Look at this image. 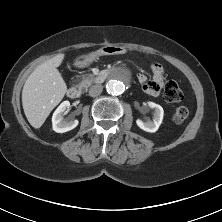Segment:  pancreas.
Wrapping results in <instances>:
<instances>
[{
	"instance_id": "obj_1",
	"label": "pancreas",
	"mask_w": 222,
	"mask_h": 222,
	"mask_svg": "<svg viewBox=\"0 0 222 222\" xmlns=\"http://www.w3.org/2000/svg\"><path fill=\"white\" fill-rule=\"evenodd\" d=\"M96 80L93 74H85L81 76V81L78 84L79 88H88Z\"/></svg>"
}]
</instances>
